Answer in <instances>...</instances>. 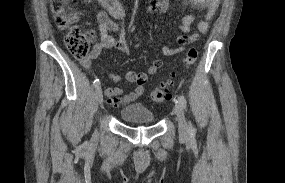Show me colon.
<instances>
[{"instance_id": "obj_1", "label": "colon", "mask_w": 285, "mask_h": 183, "mask_svg": "<svg viewBox=\"0 0 285 183\" xmlns=\"http://www.w3.org/2000/svg\"><path fill=\"white\" fill-rule=\"evenodd\" d=\"M72 0H51V7L55 17V23L61 30H66L64 43L72 56L78 59H86L91 53L95 34L90 30H82L74 26L78 20V14L70 7ZM198 48L190 47L182 64L185 68L191 67L198 58ZM176 77L160 82L150 93L152 101L157 103L166 102L171 98V88Z\"/></svg>"}]
</instances>
